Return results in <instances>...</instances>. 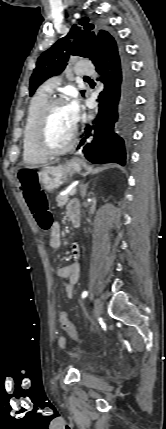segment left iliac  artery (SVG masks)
<instances>
[{
	"instance_id": "1",
	"label": "left iliac artery",
	"mask_w": 166,
	"mask_h": 429,
	"mask_svg": "<svg viewBox=\"0 0 166 429\" xmlns=\"http://www.w3.org/2000/svg\"><path fill=\"white\" fill-rule=\"evenodd\" d=\"M87 295H88V291H84L83 293H82V298L84 299V298H86L87 297Z\"/></svg>"
}]
</instances>
